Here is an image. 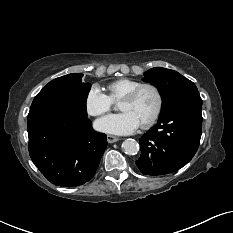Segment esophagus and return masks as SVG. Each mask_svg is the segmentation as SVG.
<instances>
[{
  "label": "esophagus",
  "mask_w": 233,
  "mask_h": 233,
  "mask_svg": "<svg viewBox=\"0 0 233 233\" xmlns=\"http://www.w3.org/2000/svg\"><path fill=\"white\" fill-rule=\"evenodd\" d=\"M107 141L108 143H115L119 141V137L114 136V135H107Z\"/></svg>",
  "instance_id": "esophagus-1"
}]
</instances>
